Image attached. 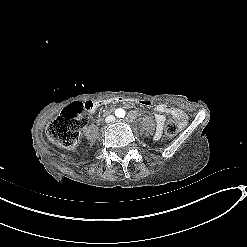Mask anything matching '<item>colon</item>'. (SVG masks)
<instances>
[{
	"instance_id": "colon-1",
	"label": "colon",
	"mask_w": 247,
	"mask_h": 247,
	"mask_svg": "<svg viewBox=\"0 0 247 247\" xmlns=\"http://www.w3.org/2000/svg\"><path fill=\"white\" fill-rule=\"evenodd\" d=\"M153 101L140 100L135 97L108 96L84 103H73L67 106L58 117L48 126L47 137L61 148L74 147L79 139L80 130L88 123L87 111L111 105H125L138 107L151 106ZM178 131V125L174 119H168L165 126V135L173 137Z\"/></svg>"
}]
</instances>
